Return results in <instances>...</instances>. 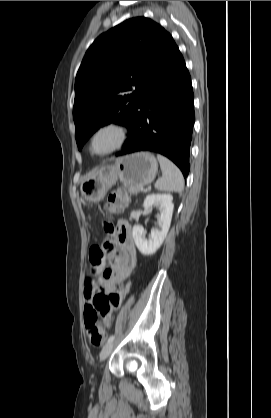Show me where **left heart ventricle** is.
<instances>
[{"label":"left heart ventricle","mask_w":271,"mask_h":418,"mask_svg":"<svg viewBox=\"0 0 271 418\" xmlns=\"http://www.w3.org/2000/svg\"><path fill=\"white\" fill-rule=\"evenodd\" d=\"M113 139H114V136L112 134H110V133L103 134L97 139V141L95 143V148L97 150H103L107 146L110 145V143L113 141Z\"/></svg>","instance_id":"b2bd125f"}]
</instances>
